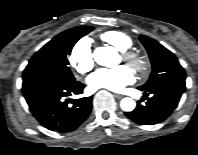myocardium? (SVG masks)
<instances>
[{"label":"myocardium","instance_id":"1","mask_svg":"<svg viewBox=\"0 0 198 155\" xmlns=\"http://www.w3.org/2000/svg\"><path fill=\"white\" fill-rule=\"evenodd\" d=\"M122 57L127 61L135 70L142 72L146 67V60L144 57L132 50L122 51Z\"/></svg>","mask_w":198,"mask_h":155}]
</instances>
